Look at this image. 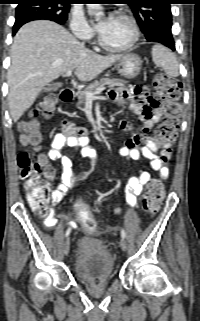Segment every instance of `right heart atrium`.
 Returning a JSON list of instances; mask_svg holds the SVG:
<instances>
[{
    "label": "right heart atrium",
    "mask_w": 200,
    "mask_h": 321,
    "mask_svg": "<svg viewBox=\"0 0 200 321\" xmlns=\"http://www.w3.org/2000/svg\"><path fill=\"white\" fill-rule=\"evenodd\" d=\"M70 29L74 36L80 40H89L94 34L92 27L79 8H74L71 11Z\"/></svg>",
    "instance_id": "1"
}]
</instances>
